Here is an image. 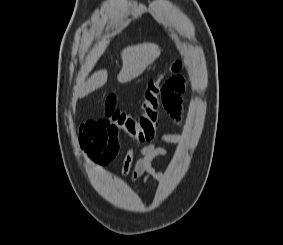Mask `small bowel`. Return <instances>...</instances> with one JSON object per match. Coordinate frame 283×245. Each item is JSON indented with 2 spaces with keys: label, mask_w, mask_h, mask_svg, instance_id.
<instances>
[{
  "label": "small bowel",
  "mask_w": 283,
  "mask_h": 245,
  "mask_svg": "<svg viewBox=\"0 0 283 245\" xmlns=\"http://www.w3.org/2000/svg\"><path fill=\"white\" fill-rule=\"evenodd\" d=\"M186 88L185 79L181 75H174L162 84V107L174 119L180 118L182 109V94ZM161 141L177 143L181 137L176 133H166ZM79 145L91 162L99 166L110 164L118 155L121 147L119 132L104 119L93 120L81 126ZM168 151L155 143L140 149L135 160L134 148L129 147L124 153L121 174L131 182L142 179L143 184L149 180L162 181L166 174L157 170L152 161L158 156H166Z\"/></svg>",
  "instance_id": "obj_1"
}]
</instances>
